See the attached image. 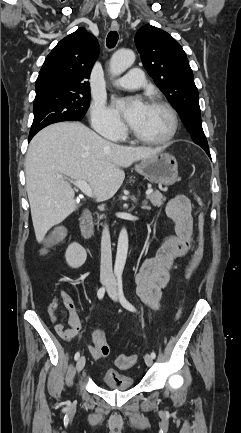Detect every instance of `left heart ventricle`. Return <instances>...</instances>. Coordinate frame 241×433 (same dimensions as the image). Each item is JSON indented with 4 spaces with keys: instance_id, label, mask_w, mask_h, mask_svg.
I'll list each match as a JSON object with an SVG mask.
<instances>
[{
    "instance_id": "1",
    "label": "left heart ventricle",
    "mask_w": 241,
    "mask_h": 433,
    "mask_svg": "<svg viewBox=\"0 0 241 433\" xmlns=\"http://www.w3.org/2000/svg\"><path fill=\"white\" fill-rule=\"evenodd\" d=\"M171 125L170 115L165 109L147 105L142 117L133 129L143 137L159 139L169 133Z\"/></svg>"
}]
</instances>
